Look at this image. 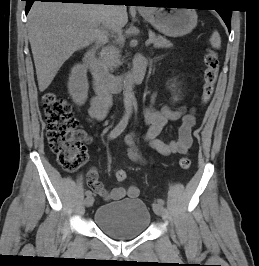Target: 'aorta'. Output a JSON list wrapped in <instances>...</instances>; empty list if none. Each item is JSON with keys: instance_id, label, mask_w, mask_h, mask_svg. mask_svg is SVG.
Here are the masks:
<instances>
[{"instance_id": "aorta-1", "label": "aorta", "mask_w": 259, "mask_h": 266, "mask_svg": "<svg viewBox=\"0 0 259 266\" xmlns=\"http://www.w3.org/2000/svg\"><path fill=\"white\" fill-rule=\"evenodd\" d=\"M133 81L130 76H127L124 82V90H123V102L125 115L130 116L133 111V101H134V91H133Z\"/></svg>"}]
</instances>
